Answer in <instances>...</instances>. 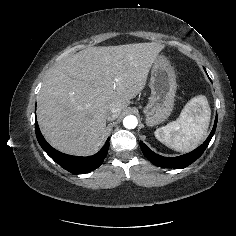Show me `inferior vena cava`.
Wrapping results in <instances>:
<instances>
[{
  "label": "inferior vena cava",
  "instance_id": "602c4592",
  "mask_svg": "<svg viewBox=\"0 0 236 236\" xmlns=\"http://www.w3.org/2000/svg\"><path fill=\"white\" fill-rule=\"evenodd\" d=\"M117 112L118 109L112 108L108 113H107V120L112 121L117 118Z\"/></svg>",
  "mask_w": 236,
  "mask_h": 236
}]
</instances>
